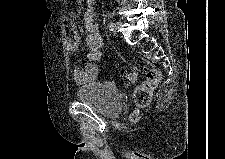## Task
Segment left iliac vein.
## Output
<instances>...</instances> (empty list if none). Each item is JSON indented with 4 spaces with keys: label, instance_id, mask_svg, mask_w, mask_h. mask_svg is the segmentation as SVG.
<instances>
[{
    "label": "left iliac vein",
    "instance_id": "obj_1",
    "mask_svg": "<svg viewBox=\"0 0 225 159\" xmlns=\"http://www.w3.org/2000/svg\"><path fill=\"white\" fill-rule=\"evenodd\" d=\"M119 25H120V24H119L118 22L113 23L112 32H113L114 34H117Z\"/></svg>",
    "mask_w": 225,
    "mask_h": 159
}]
</instances>
